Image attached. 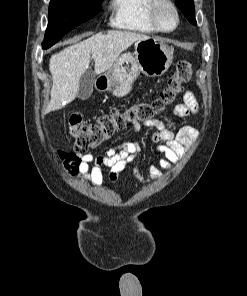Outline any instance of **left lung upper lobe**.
<instances>
[{"instance_id":"left-lung-upper-lobe-1","label":"left lung upper lobe","mask_w":247,"mask_h":296,"mask_svg":"<svg viewBox=\"0 0 247 296\" xmlns=\"http://www.w3.org/2000/svg\"><path fill=\"white\" fill-rule=\"evenodd\" d=\"M175 2L188 21L196 25L193 0H175Z\"/></svg>"}]
</instances>
